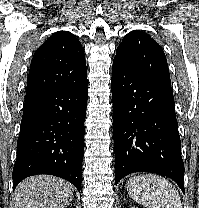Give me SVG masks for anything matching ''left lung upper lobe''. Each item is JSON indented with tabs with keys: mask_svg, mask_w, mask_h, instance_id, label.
Returning a JSON list of instances; mask_svg holds the SVG:
<instances>
[{
	"mask_svg": "<svg viewBox=\"0 0 199 208\" xmlns=\"http://www.w3.org/2000/svg\"><path fill=\"white\" fill-rule=\"evenodd\" d=\"M114 60L121 61L136 73L171 85L168 64L161 46L140 30L131 31L124 37Z\"/></svg>",
	"mask_w": 199,
	"mask_h": 208,
	"instance_id": "left-lung-upper-lobe-1",
	"label": "left lung upper lobe"
}]
</instances>
